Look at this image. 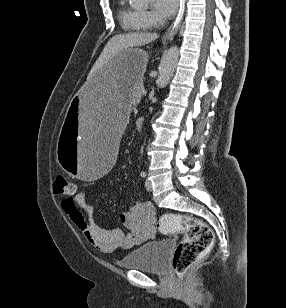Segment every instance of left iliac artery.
Segmentation results:
<instances>
[{"mask_svg":"<svg viewBox=\"0 0 286 308\" xmlns=\"http://www.w3.org/2000/svg\"><path fill=\"white\" fill-rule=\"evenodd\" d=\"M140 176L143 177V178L146 177V172L145 171H141Z\"/></svg>","mask_w":286,"mask_h":308,"instance_id":"1","label":"left iliac artery"}]
</instances>
